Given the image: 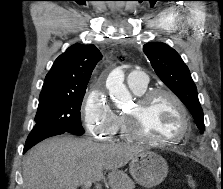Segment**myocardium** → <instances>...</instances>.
Here are the masks:
<instances>
[{
	"mask_svg": "<svg viewBox=\"0 0 223 189\" xmlns=\"http://www.w3.org/2000/svg\"><path fill=\"white\" fill-rule=\"evenodd\" d=\"M161 96H166L170 98L181 113V131L177 137L172 139H157L147 136L140 130L139 127V114L144 111L152 101ZM125 124L129 138L140 143L158 146H172L178 144L189 134L191 128L190 114L186 105L178 95L166 89H153L139 95L136 101V109L125 115Z\"/></svg>",
	"mask_w": 223,
	"mask_h": 189,
	"instance_id": "obj_1",
	"label": "myocardium"
}]
</instances>
